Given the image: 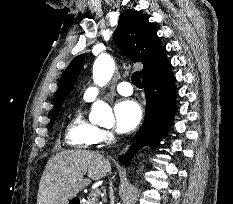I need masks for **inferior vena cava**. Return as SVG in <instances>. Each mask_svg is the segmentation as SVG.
I'll list each match as a JSON object with an SVG mask.
<instances>
[{
  "label": "inferior vena cava",
  "mask_w": 233,
  "mask_h": 204,
  "mask_svg": "<svg viewBox=\"0 0 233 204\" xmlns=\"http://www.w3.org/2000/svg\"><path fill=\"white\" fill-rule=\"evenodd\" d=\"M110 199H111V202H113L114 196H113L112 188H110Z\"/></svg>",
  "instance_id": "inferior-vena-cava-1"
}]
</instances>
